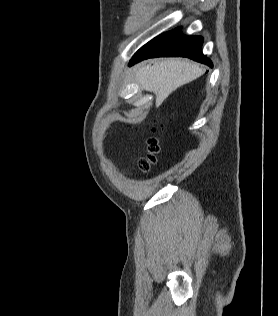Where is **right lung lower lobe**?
<instances>
[{
    "instance_id": "right-lung-lower-lobe-1",
    "label": "right lung lower lobe",
    "mask_w": 278,
    "mask_h": 316,
    "mask_svg": "<svg viewBox=\"0 0 278 316\" xmlns=\"http://www.w3.org/2000/svg\"><path fill=\"white\" fill-rule=\"evenodd\" d=\"M202 44V37L183 35L179 27L163 33L145 44L132 57L129 66L153 57L182 56L212 67L211 61L202 53Z\"/></svg>"
}]
</instances>
